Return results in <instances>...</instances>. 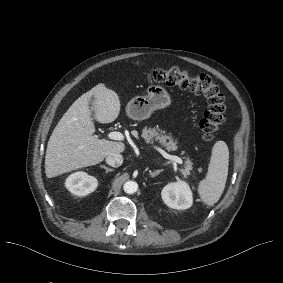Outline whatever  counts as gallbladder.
<instances>
[{"label":"gallbladder","mask_w":283,"mask_h":283,"mask_svg":"<svg viewBox=\"0 0 283 283\" xmlns=\"http://www.w3.org/2000/svg\"><path fill=\"white\" fill-rule=\"evenodd\" d=\"M89 110L91 111V115L93 117H96L97 111H98V104H97L96 97L94 95H92L91 98H90Z\"/></svg>","instance_id":"1"}]
</instances>
